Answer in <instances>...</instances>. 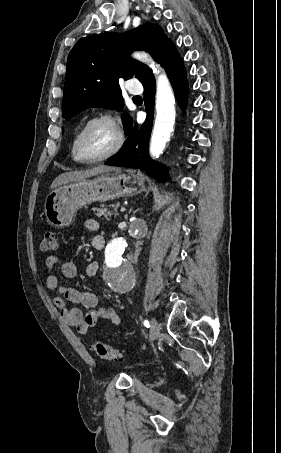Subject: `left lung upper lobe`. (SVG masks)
Returning <instances> with one entry per match:
<instances>
[{"instance_id":"obj_1","label":"left lung upper lobe","mask_w":281,"mask_h":453,"mask_svg":"<svg viewBox=\"0 0 281 453\" xmlns=\"http://www.w3.org/2000/svg\"><path fill=\"white\" fill-rule=\"evenodd\" d=\"M171 40L156 24L145 23L124 34L101 33L79 40L67 59L62 115L68 120L90 107L122 110L119 79L136 77L139 81L151 73L144 64L131 59L134 50H146L159 61ZM128 135L132 118L123 115Z\"/></svg>"}]
</instances>
